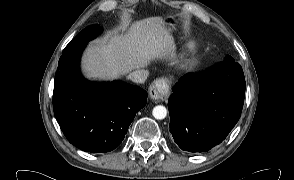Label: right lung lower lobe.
Listing matches in <instances>:
<instances>
[{
    "label": "right lung lower lobe",
    "mask_w": 294,
    "mask_h": 180,
    "mask_svg": "<svg viewBox=\"0 0 294 180\" xmlns=\"http://www.w3.org/2000/svg\"><path fill=\"white\" fill-rule=\"evenodd\" d=\"M85 46L62 52L54 80V114L71 144L87 152H109L121 144L148 94L120 81H86L79 71Z\"/></svg>",
    "instance_id": "right-lung-lower-lobe-1"
}]
</instances>
